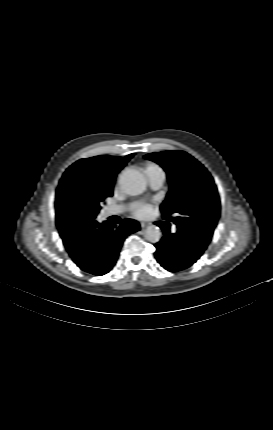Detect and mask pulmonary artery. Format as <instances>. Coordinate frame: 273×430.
<instances>
[{
  "label": "pulmonary artery",
  "instance_id": "1",
  "mask_svg": "<svg viewBox=\"0 0 273 430\" xmlns=\"http://www.w3.org/2000/svg\"><path fill=\"white\" fill-rule=\"evenodd\" d=\"M146 176H147L149 185L153 190H158L162 187L165 175L161 168L150 170L146 174ZM122 210H123V207H109L106 209L105 213L107 216H112L120 213ZM176 230L177 228L176 226H174L172 228V231L176 232Z\"/></svg>",
  "mask_w": 273,
  "mask_h": 430
}]
</instances>
